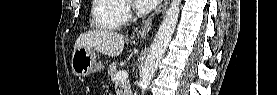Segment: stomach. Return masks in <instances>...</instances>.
<instances>
[{
    "label": "stomach",
    "instance_id": "stomach-1",
    "mask_svg": "<svg viewBox=\"0 0 277 95\" xmlns=\"http://www.w3.org/2000/svg\"><path fill=\"white\" fill-rule=\"evenodd\" d=\"M71 67L74 74L85 77L93 72L103 70L104 65L102 62H97L94 50L81 47L73 51Z\"/></svg>",
    "mask_w": 277,
    "mask_h": 95
}]
</instances>
